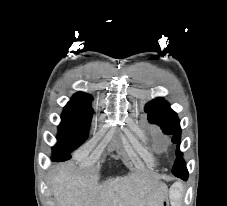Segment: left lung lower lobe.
Returning a JSON list of instances; mask_svg holds the SVG:
<instances>
[{"mask_svg":"<svg viewBox=\"0 0 227 206\" xmlns=\"http://www.w3.org/2000/svg\"><path fill=\"white\" fill-rule=\"evenodd\" d=\"M175 176L183 179V180H187L188 178V171H181V172H177V173H174Z\"/></svg>","mask_w":227,"mask_h":206,"instance_id":"1","label":"left lung lower lobe"}]
</instances>
